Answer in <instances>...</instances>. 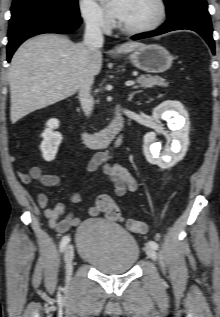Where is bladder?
<instances>
[{"label":"bladder","instance_id":"obj_1","mask_svg":"<svg viewBox=\"0 0 220 317\" xmlns=\"http://www.w3.org/2000/svg\"><path fill=\"white\" fill-rule=\"evenodd\" d=\"M75 239L79 259L104 274L127 273L140 257L137 240L111 220L84 221L76 230Z\"/></svg>","mask_w":220,"mask_h":317}]
</instances>
